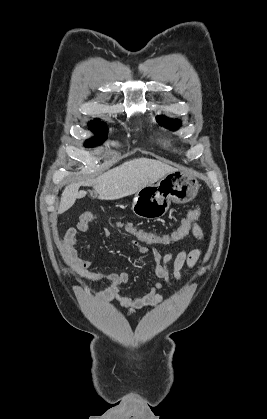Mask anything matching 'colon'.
<instances>
[{"instance_id":"1","label":"colon","mask_w":267,"mask_h":419,"mask_svg":"<svg viewBox=\"0 0 267 419\" xmlns=\"http://www.w3.org/2000/svg\"><path fill=\"white\" fill-rule=\"evenodd\" d=\"M201 210H190L181 220L180 225L170 233H156L140 228L131 222H119L118 228L126 235L132 245L143 244L149 247H166L181 242L191 231L193 224L200 218Z\"/></svg>"}]
</instances>
